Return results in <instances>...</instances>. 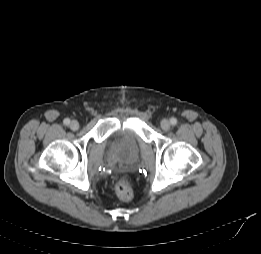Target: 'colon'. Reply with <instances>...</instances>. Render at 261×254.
Returning a JSON list of instances; mask_svg holds the SVG:
<instances>
[{"label": "colon", "instance_id": "5ec220e1", "mask_svg": "<svg viewBox=\"0 0 261 254\" xmlns=\"http://www.w3.org/2000/svg\"><path fill=\"white\" fill-rule=\"evenodd\" d=\"M117 196L123 201H129L133 197V191L130 182L125 178H120L114 186Z\"/></svg>", "mask_w": 261, "mask_h": 254}]
</instances>
